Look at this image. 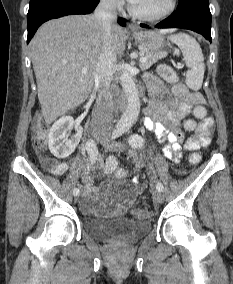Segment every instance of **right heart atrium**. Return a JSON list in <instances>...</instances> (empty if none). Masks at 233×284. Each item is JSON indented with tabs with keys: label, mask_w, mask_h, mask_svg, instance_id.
I'll use <instances>...</instances> for the list:
<instances>
[{
	"label": "right heart atrium",
	"mask_w": 233,
	"mask_h": 284,
	"mask_svg": "<svg viewBox=\"0 0 233 284\" xmlns=\"http://www.w3.org/2000/svg\"><path fill=\"white\" fill-rule=\"evenodd\" d=\"M101 2L110 9H118L123 4V0H101Z\"/></svg>",
	"instance_id": "1"
}]
</instances>
